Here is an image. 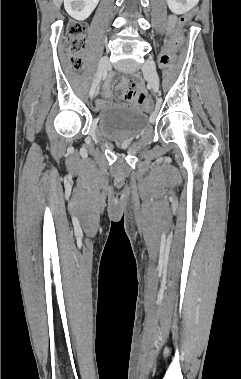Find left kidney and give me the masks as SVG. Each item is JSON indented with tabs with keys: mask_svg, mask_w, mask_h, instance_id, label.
Wrapping results in <instances>:
<instances>
[{
	"mask_svg": "<svg viewBox=\"0 0 241 379\" xmlns=\"http://www.w3.org/2000/svg\"><path fill=\"white\" fill-rule=\"evenodd\" d=\"M198 2L199 0H167L169 9L178 15L190 11Z\"/></svg>",
	"mask_w": 241,
	"mask_h": 379,
	"instance_id": "left-kidney-1",
	"label": "left kidney"
}]
</instances>
